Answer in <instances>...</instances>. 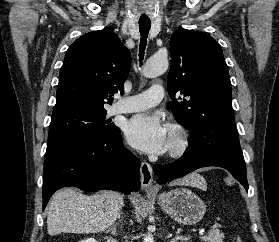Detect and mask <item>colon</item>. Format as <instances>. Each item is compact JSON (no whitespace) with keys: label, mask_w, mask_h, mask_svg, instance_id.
I'll return each instance as SVG.
<instances>
[{"label":"colon","mask_w":279,"mask_h":242,"mask_svg":"<svg viewBox=\"0 0 279 242\" xmlns=\"http://www.w3.org/2000/svg\"><path fill=\"white\" fill-rule=\"evenodd\" d=\"M231 242H244L239 236L233 235L231 237Z\"/></svg>","instance_id":"1"}]
</instances>
